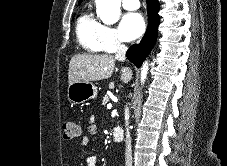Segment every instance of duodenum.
<instances>
[{
  "mask_svg": "<svg viewBox=\"0 0 227 166\" xmlns=\"http://www.w3.org/2000/svg\"><path fill=\"white\" fill-rule=\"evenodd\" d=\"M123 137H124V131L122 129V127L120 126H116L113 129V138L117 143H121L123 141Z\"/></svg>",
  "mask_w": 227,
  "mask_h": 166,
  "instance_id": "duodenum-1",
  "label": "duodenum"
}]
</instances>
